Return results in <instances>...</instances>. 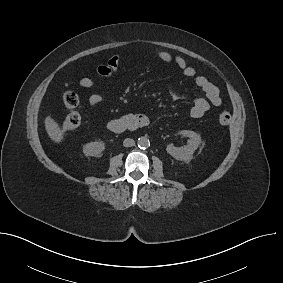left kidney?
Here are the masks:
<instances>
[{
    "label": "left kidney",
    "instance_id": "1",
    "mask_svg": "<svg viewBox=\"0 0 283 283\" xmlns=\"http://www.w3.org/2000/svg\"><path fill=\"white\" fill-rule=\"evenodd\" d=\"M182 135L189 137L188 144L184 147H175L173 144L167 145L166 151L176 160L190 161L195 150L201 143V137L194 131L182 130Z\"/></svg>",
    "mask_w": 283,
    "mask_h": 283
}]
</instances>
